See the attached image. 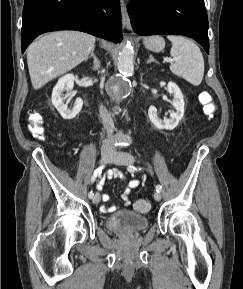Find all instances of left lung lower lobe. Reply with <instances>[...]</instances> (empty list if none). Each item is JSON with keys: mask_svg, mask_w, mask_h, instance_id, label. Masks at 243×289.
<instances>
[{"mask_svg": "<svg viewBox=\"0 0 243 289\" xmlns=\"http://www.w3.org/2000/svg\"><path fill=\"white\" fill-rule=\"evenodd\" d=\"M133 30L140 35H185L209 53L208 19L204 0H131Z\"/></svg>", "mask_w": 243, "mask_h": 289, "instance_id": "obj_1", "label": "left lung lower lobe"}]
</instances>
